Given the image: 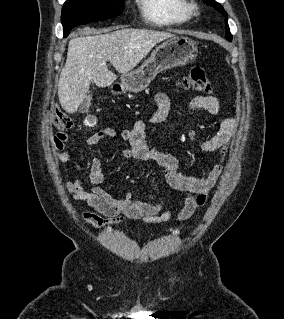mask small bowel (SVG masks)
Instances as JSON below:
<instances>
[{
	"label": "small bowel",
	"instance_id": "small-bowel-1",
	"mask_svg": "<svg viewBox=\"0 0 284 319\" xmlns=\"http://www.w3.org/2000/svg\"><path fill=\"white\" fill-rule=\"evenodd\" d=\"M155 103L156 109L150 117V121L158 123L165 119L170 99L165 93H158L155 97ZM188 108L191 114L206 111L217 115L220 112L221 104L215 97L197 96L192 99ZM236 127L237 123L233 118H224L216 132L201 144L204 153L218 152L221 157L217 164L208 167L198 176L180 171L178 161L174 157L147 145L144 120H137L131 129H125L121 132V137L129 145L122 152L125 158L156 162L164 169L165 179L170 188L173 191L183 193V205L175 216V209H165L164 200L158 203L133 200L130 193H125L122 198L113 197L101 186L104 175L100 158H95L92 161L86 179L67 181L65 186L74 201L85 202L92 209V211L83 212L81 216L84 222L98 229L118 225L125 219L142 220L149 224L168 222L173 217L177 221L188 220L198 208L206 203L210 190L221 175L223 159ZM115 136V130L106 127L90 136L87 144L94 146L105 138ZM68 140L69 137L65 132H59L53 138L54 155L60 163H67L70 160V151L65 148Z\"/></svg>",
	"mask_w": 284,
	"mask_h": 319
}]
</instances>
